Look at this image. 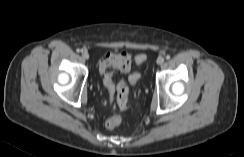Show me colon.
I'll return each mask as SVG.
<instances>
[{
  "label": "colon",
  "mask_w": 244,
  "mask_h": 157,
  "mask_svg": "<svg viewBox=\"0 0 244 157\" xmlns=\"http://www.w3.org/2000/svg\"><path fill=\"white\" fill-rule=\"evenodd\" d=\"M147 60V55L142 53L138 54L134 61L136 64H142ZM118 70L114 67L106 68L104 70V85L110 94L112 96L115 91L117 92V102L121 107L127 106V100H128V85L127 82L124 79H121L117 85L114 84V74ZM140 78V74L138 72H133L129 79L132 84H136ZM121 124V118L119 116H113L106 120V127L108 129H114L118 127Z\"/></svg>",
  "instance_id": "obj_1"
}]
</instances>
